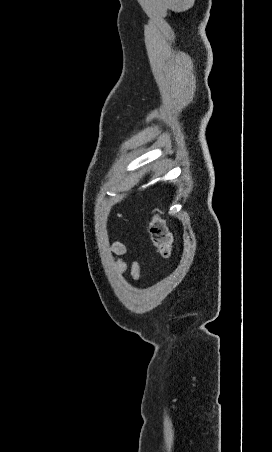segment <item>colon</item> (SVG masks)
I'll use <instances>...</instances> for the list:
<instances>
[{
    "instance_id": "colon-1",
    "label": "colon",
    "mask_w": 272,
    "mask_h": 452,
    "mask_svg": "<svg viewBox=\"0 0 272 452\" xmlns=\"http://www.w3.org/2000/svg\"><path fill=\"white\" fill-rule=\"evenodd\" d=\"M149 233L159 257L162 260L169 259L172 254V235L160 214L154 213L152 215L149 223Z\"/></svg>"
}]
</instances>
